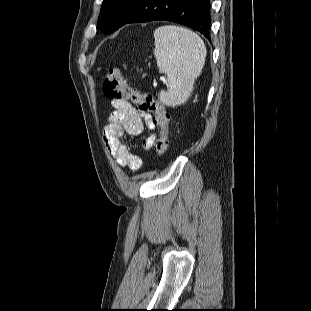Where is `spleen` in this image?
<instances>
[{"label":"spleen","instance_id":"1","mask_svg":"<svg viewBox=\"0 0 311 311\" xmlns=\"http://www.w3.org/2000/svg\"><path fill=\"white\" fill-rule=\"evenodd\" d=\"M154 39L157 66L167 75V91L158 98L169 107L184 104L204 66L205 44L193 31L175 25L158 27Z\"/></svg>","mask_w":311,"mask_h":311}]
</instances>
